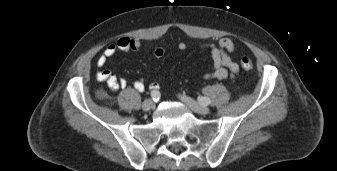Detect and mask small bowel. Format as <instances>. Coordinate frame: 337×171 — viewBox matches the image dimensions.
Wrapping results in <instances>:
<instances>
[{
	"mask_svg": "<svg viewBox=\"0 0 337 171\" xmlns=\"http://www.w3.org/2000/svg\"><path fill=\"white\" fill-rule=\"evenodd\" d=\"M141 48L139 39L130 37H120L115 43L109 44L102 54L97 58L96 64L98 67H103L109 59L114 57L118 51L121 52H136ZM201 49L209 50L212 59V69L203 74V78L209 79H226L234 77L239 73V65L230 57V53L236 50V43L228 37L221 38L218 43H205L200 45ZM178 49L185 51L187 46L180 42ZM164 50L162 47L153 48V55L157 58L162 57ZM96 79L99 82H105L110 90L117 91L125 89L129 86L126 79L118 78L113 72L109 70H102L96 73ZM132 86L135 90L142 92L145 86L140 81H134ZM150 88L154 90L159 89V83L151 82Z\"/></svg>",
	"mask_w": 337,
	"mask_h": 171,
	"instance_id": "c3829d8e",
	"label": "small bowel"
}]
</instances>
